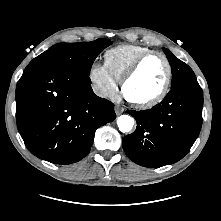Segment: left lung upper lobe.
Wrapping results in <instances>:
<instances>
[{"mask_svg":"<svg viewBox=\"0 0 221 221\" xmlns=\"http://www.w3.org/2000/svg\"><path fill=\"white\" fill-rule=\"evenodd\" d=\"M163 50L166 54L172 70L171 88L189 80H197L194 72L187 64L175 57L166 48H163Z\"/></svg>","mask_w":221,"mask_h":221,"instance_id":"5c2ea615","label":"left lung upper lobe"}]
</instances>
